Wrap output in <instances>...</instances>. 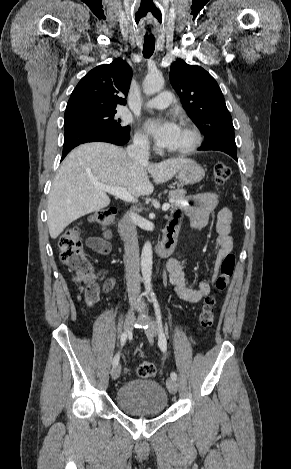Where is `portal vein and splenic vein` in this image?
I'll use <instances>...</instances> for the list:
<instances>
[{"instance_id":"1","label":"portal vein and splenic vein","mask_w":291,"mask_h":469,"mask_svg":"<svg viewBox=\"0 0 291 469\" xmlns=\"http://www.w3.org/2000/svg\"><path fill=\"white\" fill-rule=\"evenodd\" d=\"M94 187L98 190H103L109 193L110 195L116 196L120 198L121 200L127 201V202H137V200L134 199L133 196L127 190L123 187H117V186H110V185H104V184H99L95 183ZM173 202V200H172ZM170 208L169 203H165L162 206L163 211H167Z\"/></svg>"}]
</instances>
